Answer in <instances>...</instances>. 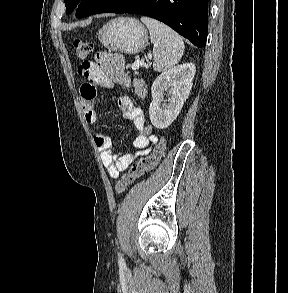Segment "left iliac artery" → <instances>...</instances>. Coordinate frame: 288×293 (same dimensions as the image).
<instances>
[{
  "mask_svg": "<svg viewBox=\"0 0 288 293\" xmlns=\"http://www.w3.org/2000/svg\"><path fill=\"white\" fill-rule=\"evenodd\" d=\"M119 261H123V259H122V257L120 256V254H119Z\"/></svg>",
  "mask_w": 288,
  "mask_h": 293,
  "instance_id": "obj_1",
  "label": "left iliac artery"
}]
</instances>
